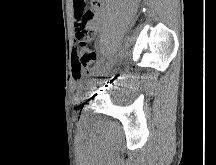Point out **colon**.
<instances>
[{
    "mask_svg": "<svg viewBox=\"0 0 216 165\" xmlns=\"http://www.w3.org/2000/svg\"><path fill=\"white\" fill-rule=\"evenodd\" d=\"M84 23L81 24L76 31V38L78 39L79 46L75 48L73 69L75 77L79 78L80 72L83 68L91 67L97 69L98 58L96 54L86 46V41L92 36V33L86 28L85 22L92 17V13L84 14Z\"/></svg>",
    "mask_w": 216,
    "mask_h": 165,
    "instance_id": "1",
    "label": "colon"
}]
</instances>
